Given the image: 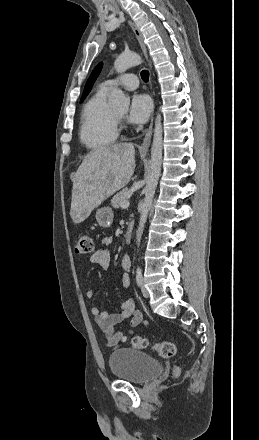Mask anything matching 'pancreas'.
Returning <instances> with one entry per match:
<instances>
[{
  "label": "pancreas",
  "mask_w": 259,
  "mask_h": 440,
  "mask_svg": "<svg viewBox=\"0 0 259 440\" xmlns=\"http://www.w3.org/2000/svg\"><path fill=\"white\" fill-rule=\"evenodd\" d=\"M128 192H129L128 188H125L116 195H114V197L111 200V204L115 209H119L121 207L122 202L128 201Z\"/></svg>",
  "instance_id": "1"
}]
</instances>
